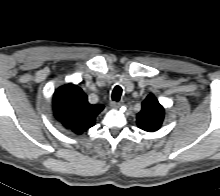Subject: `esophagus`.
<instances>
[{"instance_id": "1", "label": "esophagus", "mask_w": 220, "mask_h": 196, "mask_svg": "<svg viewBox=\"0 0 220 196\" xmlns=\"http://www.w3.org/2000/svg\"><path fill=\"white\" fill-rule=\"evenodd\" d=\"M121 106H122L121 102H115V101L110 102V107L113 109H119Z\"/></svg>"}]
</instances>
